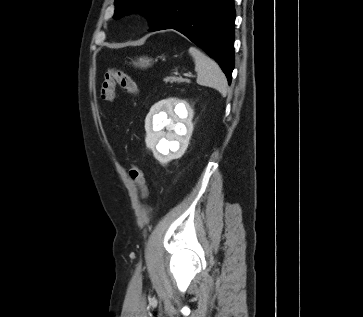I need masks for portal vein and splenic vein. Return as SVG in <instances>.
Here are the masks:
<instances>
[{
  "label": "portal vein and splenic vein",
  "mask_w": 363,
  "mask_h": 317,
  "mask_svg": "<svg viewBox=\"0 0 363 317\" xmlns=\"http://www.w3.org/2000/svg\"><path fill=\"white\" fill-rule=\"evenodd\" d=\"M185 77H193V75L191 73H184L183 74Z\"/></svg>",
  "instance_id": "obj_1"
}]
</instances>
